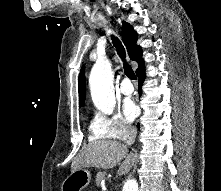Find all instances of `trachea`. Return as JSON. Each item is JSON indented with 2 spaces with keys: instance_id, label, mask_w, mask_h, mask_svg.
<instances>
[{
  "instance_id": "1",
  "label": "trachea",
  "mask_w": 221,
  "mask_h": 191,
  "mask_svg": "<svg viewBox=\"0 0 221 191\" xmlns=\"http://www.w3.org/2000/svg\"><path fill=\"white\" fill-rule=\"evenodd\" d=\"M112 41H113V45L116 47L119 56L121 57V59L124 62V72L126 74V76L128 78H130L131 80H135L136 79V75L133 71V69L131 68V66L125 61L126 58V54H125V49L121 43V41L112 35Z\"/></svg>"
}]
</instances>
